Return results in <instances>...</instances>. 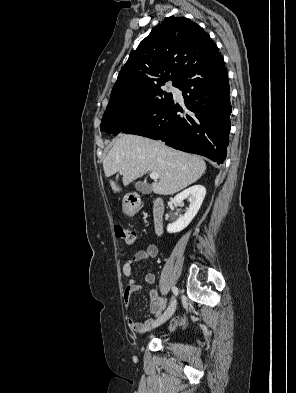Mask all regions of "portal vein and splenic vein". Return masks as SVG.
Listing matches in <instances>:
<instances>
[{
	"instance_id": "1",
	"label": "portal vein and splenic vein",
	"mask_w": 296,
	"mask_h": 393,
	"mask_svg": "<svg viewBox=\"0 0 296 393\" xmlns=\"http://www.w3.org/2000/svg\"><path fill=\"white\" fill-rule=\"evenodd\" d=\"M150 178L153 179V180H157V179H159V175H158V173L151 172L150 173Z\"/></svg>"
}]
</instances>
